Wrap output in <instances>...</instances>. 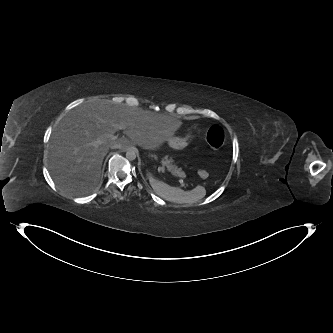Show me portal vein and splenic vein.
<instances>
[{
	"label": "portal vein and splenic vein",
	"mask_w": 333,
	"mask_h": 333,
	"mask_svg": "<svg viewBox=\"0 0 333 333\" xmlns=\"http://www.w3.org/2000/svg\"><path fill=\"white\" fill-rule=\"evenodd\" d=\"M118 129H120V130H124L125 129V127L123 126V125H120V126H118ZM105 138H109V139H117L118 138V135H112V134H108V135H106L105 136ZM102 143V140H97L95 143H94V145H96V144H101ZM185 177V176H184Z\"/></svg>",
	"instance_id": "18ae733b"
}]
</instances>
